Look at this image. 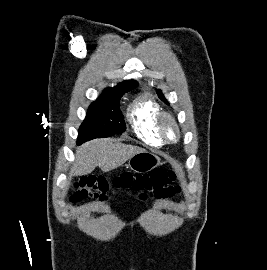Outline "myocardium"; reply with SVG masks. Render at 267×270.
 <instances>
[{
	"label": "myocardium",
	"instance_id": "obj_1",
	"mask_svg": "<svg viewBox=\"0 0 267 270\" xmlns=\"http://www.w3.org/2000/svg\"><path fill=\"white\" fill-rule=\"evenodd\" d=\"M171 124L175 130V136L171 137L167 131V125ZM156 128L162 138L166 143H175L179 140L181 136L180 126L176 118L169 112L161 111L156 119Z\"/></svg>",
	"mask_w": 267,
	"mask_h": 270
}]
</instances>
